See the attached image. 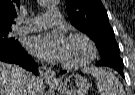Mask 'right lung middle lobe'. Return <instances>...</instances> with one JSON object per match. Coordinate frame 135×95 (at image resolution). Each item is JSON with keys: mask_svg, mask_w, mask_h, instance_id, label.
Listing matches in <instances>:
<instances>
[{"mask_svg": "<svg viewBox=\"0 0 135 95\" xmlns=\"http://www.w3.org/2000/svg\"><path fill=\"white\" fill-rule=\"evenodd\" d=\"M10 30H0V46H9L15 43V38H8L7 35Z\"/></svg>", "mask_w": 135, "mask_h": 95, "instance_id": "1", "label": "right lung middle lobe"}]
</instances>
